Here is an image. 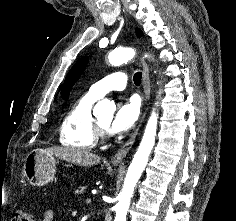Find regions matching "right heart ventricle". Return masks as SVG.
<instances>
[{"instance_id": "obj_1", "label": "right heart ventricle", "mask_w": 236, "mask_h": 221, "mask_svg": "<svg viewBox=\"0 0 236 221\" xmlns=\"http://www.w3.org/2000/svg\"><path fill=\"white\" fill-rule=\"evenodd\" d=\"M97 99L84 94L64 115L59 128V141L67 148L91 150L97 143L92 107Z\"/></svg>"}]
</instances>
